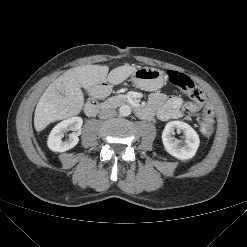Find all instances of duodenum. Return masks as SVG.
Segmentation results:
<instances>
[{
	"label": "duodenum",
	"mask_w": 247,
	"mask_h": 247,
	"mask_svg": "<svg viewBox=\"0 0 247 247\" xmlns=\"http://www.w3.org/2000/svg\"><path fill=\"white\" fill-rule=\"evenodd\" d=\"M109 89L110 84L103 83L95 89V93L105 94L109 91ZM106 108L107 107L105 105H102L97 99H91L86 103L84 110L88 116H95L101 110H105ZM132 108L134 112L142 118H145L148 115V110L140 105H132Z\"/></svg>",
	"instance_id": "1"
}]
</instances>
